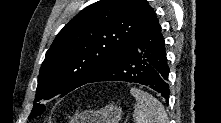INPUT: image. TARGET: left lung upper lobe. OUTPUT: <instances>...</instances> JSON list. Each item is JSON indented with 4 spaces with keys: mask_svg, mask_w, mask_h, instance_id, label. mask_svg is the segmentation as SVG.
<instances>
[{
    "mask_svg": "<svg viewBox=\"0 0 221 123\" xmlns=\"http://www.w3.org/2000/svg\"><path fill=\"white\" fill-rule=\"evenodd\" d=\"M156 18L146 0H101L83 9L58 33L40 68L29 119L42 100L86 84L121 54Z\"/></svg>",
    "mask_w": 221,
    "mask_h": 123,
    "instance_id": "left-lung-upper-lobe-1",
    "label": "left lung upper lobe"
}]
</instances>
